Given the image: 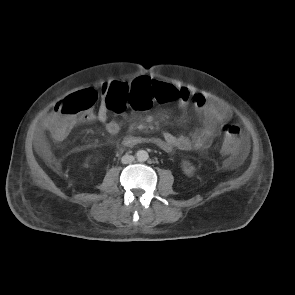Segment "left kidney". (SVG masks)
Returning a JSON list of instances; mask_svg holds the SVG:
<instances>
[{"mask_svg": "<svg viewBox=\"0 0 295 295\" xmlns=\"http://www.w3.org/2000/svg\"><path fill=\"white\" fill-rule=\"evenodd\" d=\"M182 166H183L184 173L186 175L189 176L193 173L194 168L192 166H190V164L188 162L184 161Z\"/></svg>", "mask_w": 295, "mask_h": 295, "instance_id": "1", "label": "left kidney"}]
</instances>
